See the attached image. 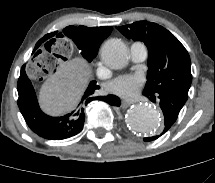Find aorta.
Returning a JSON list of instances; mask_svg holds the SVG:
<instances>
[{
    "mask_svg": "<svg viewBox=\"0 0 215 183\" xmlns=\"http://www.w3.org/2000/svg\"><path fill=\"white\" fill-rule=\"evenodd\" d=\"M103 62L111 69H122L128 61L126 45L119 39H109L101 47ZM127 127L137 133L154 134L161 126L159 112L148 104L132 107L126 115Z\"/></svg>",
    "mask_w": 215,
    "mask_h": 183,
    "instance_id": "obj_1",
    "label": "aorta"
}]
</instances>
